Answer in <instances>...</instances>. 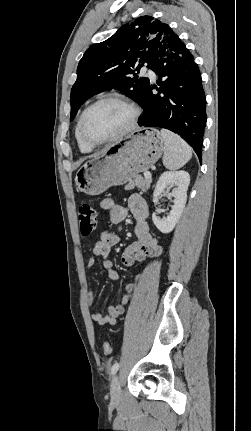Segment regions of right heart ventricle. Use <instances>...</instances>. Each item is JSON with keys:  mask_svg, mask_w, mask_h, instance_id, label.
<instances>
[{"mask_svg": "<svg viewBox=\"0 0 251 431\" xmlns=\"http://www.w3.org/2000/svg\"><path fill=\"white\" fill-rule=\"evenodd\" d=\"M83 111L80 113L79 118L77 120V124H76V127H75V138H76V141H77V144H78V147H79L80 151L83 152V153H89V152H91L93 150L94 147H91V146L87 145L82 140V138L80 136V130H79L80 118H81V115H82Z\"/></svg>", "mask_w": 251, "mask_h": 431, "instance_id": "1", "label": "right heart ventricle"}]
</instances>
